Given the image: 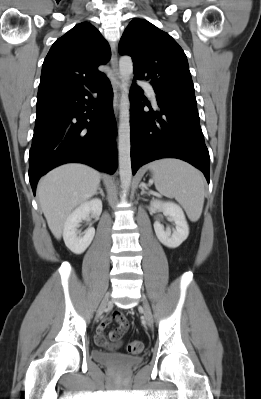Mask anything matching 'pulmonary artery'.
Instances as JSON below:
<instances>
[{
	"mask_svg": "<svg viewBox=\"0 0 261 399\" xmlns=\"http://www.w3.org/2000/svg\"><path fill=\"white\" fill-rule=\"evenodd\" d=\"M140 85L146 90L147 94L151 97L153 102H156V95L153 87L147 81H141Z\"/></svg>",
	"mask_w": 261,
	"mask_h": 399,
	"instance_id": "pulmonary-artery-1",
	"label": "pulmonary artery"
}]
</instances>
